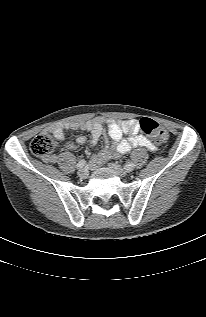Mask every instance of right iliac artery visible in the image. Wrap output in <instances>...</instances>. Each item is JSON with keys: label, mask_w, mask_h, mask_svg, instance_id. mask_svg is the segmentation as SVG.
Segmentation results:
<instances>
[{"label": "right iliac artery", "mask_w": 206, "mask_h": 317, "mask_svg": "<svg viewBox=\"0 0 206 317\" xmlns=\"http://www.w3.org/2000/svg\"><path fill=\"white\" fill-rule=\"evenodd\" d=\"M85 165H86V161H85V160H80V161L77 163L76 167H77V169H81V168H83Z\"/></svg>", "instance_id": "1"}]
</instances>
